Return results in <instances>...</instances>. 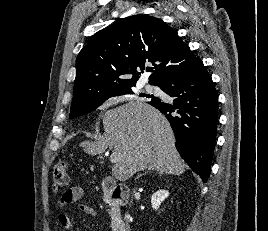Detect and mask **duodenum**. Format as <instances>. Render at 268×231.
Wrapping results in <instances>:
<instances>
[{"label":"duodenum","mask_w":268,"mask_h":231,"mask_svg":"<svg viewBox=\"0 0 268 231\" xmlns=\"http://www.w3.org/2000/svg\"><path fill=\"white\" fill-rule=\"evenodd\" d=\"M102 192L109 203L112 231H126L121 212V203L128 200V192L112 178H105L103 180Z\"/></svg>","instance_id":"duodenum-1"}]
</instances>
